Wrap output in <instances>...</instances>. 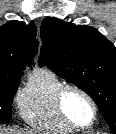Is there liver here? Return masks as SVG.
I'll list each match as a JSON object with an SVG mask.
<instances>
[{
  "mask_svg": "<svg viewBox=\"0 0 116 134\" xmlns=\"http://www.w3.org/2000/svg\"><path fill=\"white\" fill-rule=\"evenodd\" d=\"M0 134H35L32 131H20V130H13V129H1L0 128Z\"/></svg>",
  "mask_w": 116,
  "mask_h": 134,
  "instance_id": "obj_1",
  "label": "liver"
}]
</instances>
